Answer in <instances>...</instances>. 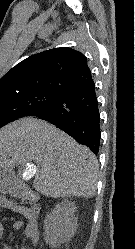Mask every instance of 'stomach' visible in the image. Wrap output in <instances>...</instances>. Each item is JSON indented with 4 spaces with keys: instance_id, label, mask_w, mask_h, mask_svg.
<instances>
[{
    "instance_id": "obj_1",
    "label": "stomach",
    "mask_w": 135,
    "mask_h": 249,
    "mask_svg": "<svg viewBox=\"0 0 135 249\" xmlns=\"http://www.w3.org/2000/svg\"><path fill=\"white\" fill-rule=\"evenodd\" d=\"M11 171L0 168V184L2 185L5 182H10Z\"/></svg>"
}]
</instances>
